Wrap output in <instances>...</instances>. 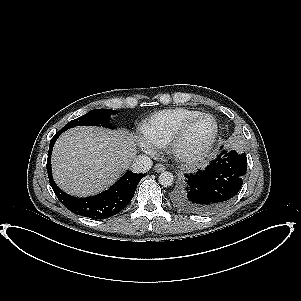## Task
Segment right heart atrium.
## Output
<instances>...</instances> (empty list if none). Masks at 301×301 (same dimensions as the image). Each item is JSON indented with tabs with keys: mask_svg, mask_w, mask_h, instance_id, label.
<instances>
[{
	"mask_svg": "<svg viewBox=\"0 0 301 301\" xmlns=\"http://www.w3.org/2000/svg\"><path fill=\"white\" fill-rule=\"evenodd\" d=\"M137 144L141 150L148 154H154L156 152V147L145 137H137Z\"/></svg>",
	"mask_w": 301,
	"mask_h": 301,
	"instance_id": "obj_1",
	"label": "right heart atrium"
}]
</instances>
